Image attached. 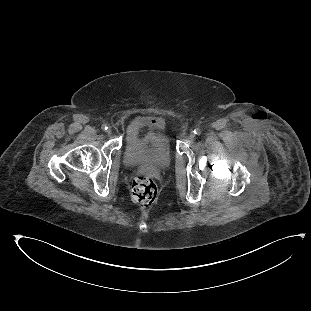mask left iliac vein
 Returning <instances> with one entry per match:
<instances>
[{"label":"left iliac vein","mask_w":311,"mask_h":311,"mask_svg":"<svg viewBox=\"0 0 311 311\" xmlns=\"http://www.w3.org/2000/svg\"><path fill=\"white\" fill-rule=\"evenodd\" d=\"M195 138V134H194V132H191L190 134H189V139L190 140H193Z\"/></svg>","instance_id":"1"}]
</instances>
